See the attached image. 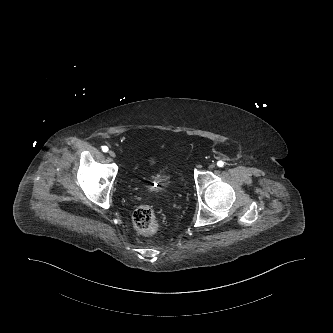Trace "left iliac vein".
<instances>
[{
    "instance_id": "4c4485c4",
    "label": "left iliac vein",
    "mask_w": 333,
    "mask_h": 333,
    "mask_svg": "<svg viewBox=\"0 0 333 333\" xmlns=\"http://www.w3.org/2000/svg\"><path fill=\"white\" fill-rule=\"evenodd\" d=\"M215 167V164H210L209 169H213Z\"/></svg>"
}]
</instances>
